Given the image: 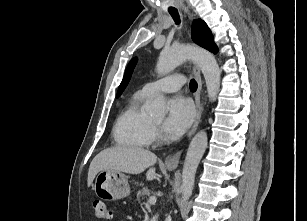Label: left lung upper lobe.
I'll use <instances>...</instances> for the list:
<instances>
[{
  "label": "left lung upper lobe",
  "mask_w": 307,
  "mask_h": 221,
  "mask_svg": "<svg viewBox=\"0 0 307 221\" xmlns=\"http://www.w3.org/2000/svg\"><path fill=\"white\" fill-rule=\"evenodd\" d=\"M192 39L195 43H197L198 45L202 46L203 48L211 52L216 53L218 50L217 46L213 43V37H212L211 31L209 30L206 23L201 19H197L193 21ZM136 61H137V58H133L128 64L123 80L118 88V92L116 96L117 98L122 94L127 84L129 83V80L131 78Z\"/></svg>",
  "instance_id": "5c2ea615"
}]
</instances>
